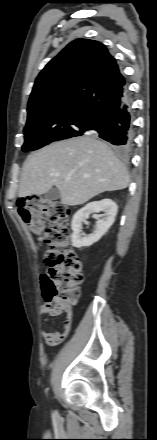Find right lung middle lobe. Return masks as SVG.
I'll return each mask as SVG.
<instances>
[{
    "label": "right lung middle lobe",
    "instance_id": "right-lung-middle-lobe-1",
    "mask_svg": "<svg viewBox=\"0 0 157 440\" xmlns=\"http://www.w3.org/2000/svg\"><path fill=\"white\" fill-rule=\"evenodd\" d=\"M83 124L67 122H48L44 120H28L24 128L25 143L22 150H37L53 141L83 135Z\"/></svg>",
    "mask_w": 157,
    "mask_h": 440
}]
</instances>
